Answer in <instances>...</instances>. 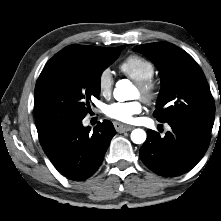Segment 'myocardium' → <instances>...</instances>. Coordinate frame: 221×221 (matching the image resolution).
Instances as JSON below:
<instances>
[{
	"label": "myocardium",
	"mask_w": 221,
	"mask_h": 221,
	"mask_svg": "<svg viewBox=\"0 0 221 221\" xmlns=\"http://www.w3.org/2000/svg\"><path fill=\"white\" fill-rule=\"evenodd\" d=\"M136 86L140 97L148 104H153L158 97V86L153 79L137 81Z\"/></svg>",
	"instance_id": "myocardium-1"
}]
</instances>
